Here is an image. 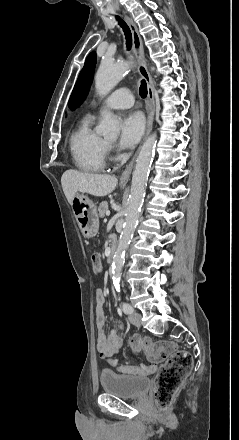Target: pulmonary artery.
<instances>
[{"label": "pulmonary artery", "mask_w": 239, "mask_h": 440, "mask_svg": "<svg viewBox=\"0 0 239 440\" xmlns=\"http://www.w3.org/2000/svg\"><path fill=\"white\" fill-rule=\"evenodd\" d=\"M133 104V95L131 91L126 88L115 90L105 100V106L110 109L129 108Z\"/></svg>", "instance_id": "obj_1"}]
</instances>
